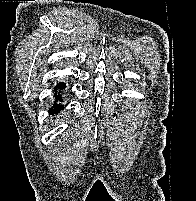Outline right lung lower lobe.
<instances>
[{
  "instance_id": "98d812e1",
  "label": "right lung lower lobe",
  "mask_w": 196,
  "mask_h": 201,
  "mask_svg": "<svg viewBox=\"0 0 196 201\" xmlns=\"http://www.w3.org/2000/svg\"><path fill=\"white\" fill-rule=\"evenodd\" d=\"M59 88L60 90H62V89H64L65 87H66V85H65V83H59V84H57V86L55 87V96H56V98H59V99H61V96H60V94L58 93H56V88ZM63 108V106H61V105H58L57 103H54V105H53V107L49 110V114H51L52 112H55V113H58V112H60V110Z\"/></svg>"
}]
</instances>
